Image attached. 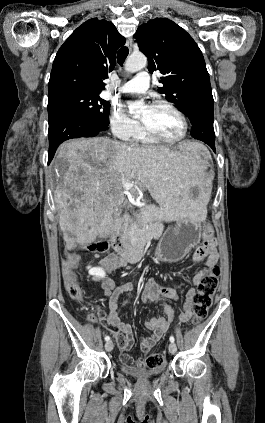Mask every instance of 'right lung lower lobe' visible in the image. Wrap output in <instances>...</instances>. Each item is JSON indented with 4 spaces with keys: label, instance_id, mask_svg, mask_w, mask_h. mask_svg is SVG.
Returning <instances> with one entry per match:
<instances>
[{
    "label": "right lung lower lobe",
    "instance_id": "obj_1",
    "mask_svg": "<svg viewBox=\"0 0 265 423\" xmlns=\"http://www.w3.org/2000/svg\"><path fill=\"white\" fill-rule=\"evenodd\" d=\"M49 120V156L51 162L57 147L64 141L79 137H94L108 126L70 109H59L48 113Z\"/></svg>",
    "mask_w": 265,
    "mask_h": 423
}]
</instances>
